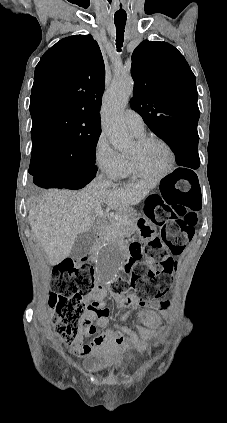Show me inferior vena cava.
<instances>
[{
  "label": "inferior vena cava",
  "mask_w": 227,
  "mask_h": 423,
  "mask_svg": "<svg viewBox=\"0 0 227 423\" xmlns=\"http://www.w3.org/2000/svg\"><path fill=\"white\" fill-rule=\"evenodd\" d=\"M96 182H101L104 188H110V186H112L111 180H105L103 174H99V176H97Z\"/></svg>",
  "instance_id": "obj_1"
}]
</instances>
